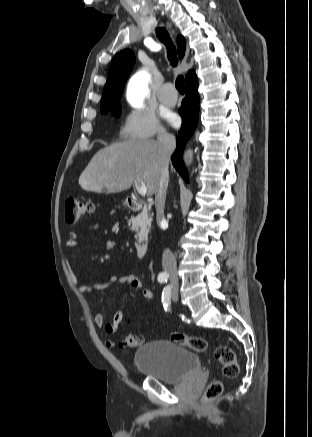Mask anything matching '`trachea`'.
Masks as SVG:
<instances>
[{
	"instance_id": "trachea-1",
	"label": "trachea",
	"mask_w": 312,
	"mask_h": 437,
	"mask_svg": "<svg viewBox=\"0 0 312 437\" xmlns=\"http://www.w3.org/2000/svg\"><path fill=\"white\" fill-rule=\"evenodd\" d=\"M156 34L159 38V40L161 42H163L166 45L167 48V52H168V59L170 61V64L174 67L177 65L178 60L176 57V48L173 45L168 32L165 30V28H158L156 30ZM183 84H184V78L183 76H178L176 79V83L175 86L177 88V90L183 94L184 93V88H183Z\"/></svg>"
}]
</instances>
